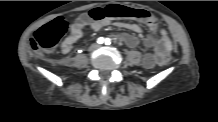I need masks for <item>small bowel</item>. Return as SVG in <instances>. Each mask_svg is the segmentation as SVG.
I'll list each match as a JSON object with an SVG mask.
<instances>
[{
  "mask_svg": "<svg viewBox=\"0 0 218 122\" xmlns=\"http://www.w3.org/2000/svg\"><path fill=\"white\" fill-rule=\"evenodd\" d=\"M114 24L119 28H125L132 33H123L120 35V40L128 47L135 48L139 45V39L136 34H142V27L135 22L112 21L108 18L100 21L94 20L90 14H81L72 24L69 34L62 41L60 50L62 53H69L74 44L83 36V30L89 26L93 31H98L104 25ZM143 45L146 48H154L152 53H147L143 56L142 63L146 68H152L157 65V61L161 57L168 55L173 49V42L165 30L154 32L143 39Z\"/></svg>",
  "mask_w": 218,
  "mask_h": 122,
  "instance_id": "small-bowel-1",
  "label": "small bowel"
}]
</instances>
